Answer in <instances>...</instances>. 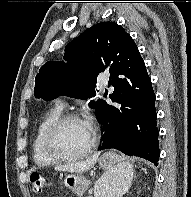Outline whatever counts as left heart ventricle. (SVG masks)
Masks as SVG:
<instances>
[{"mask_svg": "<svg viewBox=\"0 0 191 197\" xmlns=\"http://www.w3.org/2000/svg\"><path fill=\"white\" fill-rule=\"evenodd\" d=\"M92 133L82 121H70L63 125L56 135V144L65 154L76 155L91 142Z\"/></svg>", "mask_w": 191, "mask_h": 197, "instance_id": "obj_1", "label": "left heart ventricle"}]
</instances>
